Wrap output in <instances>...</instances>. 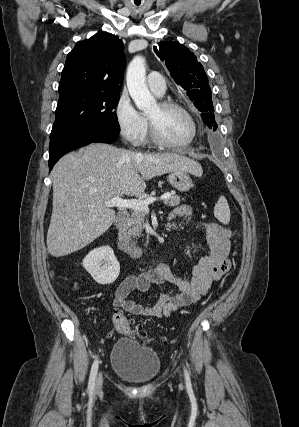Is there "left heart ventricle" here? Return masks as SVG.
I'll return each mask as SVG.
<instances>
[{
	"mask_svg": "<svg viewBox=\"0 0 299 427\" xmlns=\"http://www.w3.org/2000/svg\"><path fill=\"white\" fill-rule=\"evenodd\" d=\"M147 117L155 123L159 133L169 141L182 143L190 137V122L177 109H162L156 104L147 113Z\"/></svg>",
	"mask_w": 299,
	"mask_h": 427,
	"instance_id": "b2bd125f",
	"label": "left heart ventricle"
}]
</instances>
